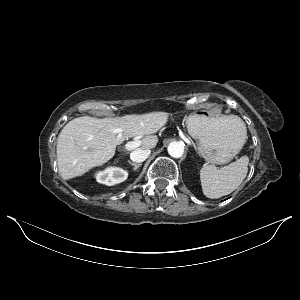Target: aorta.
<instances>
[{
    "instance_id": "aorta-1",
    "label": "aorta",
    "mask_w": 300,
    "mask_h": 300,
    "mask_svg": "<svg viewBox=\"0 0 300 300\" xmlns=\"http://www.w3.org/2000/svg\"><path fill=\"white\" fill-rule=\"evenodd\" d=\"M167 151L173 158H180L184 154V145L181 142L173 141L168 145Z\"/></svg>"
}]
</instances>
